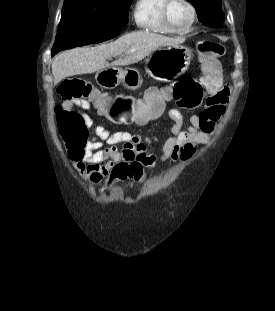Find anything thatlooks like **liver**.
<instances>
[{
  "mask_svg": "<svg viewBox=\"0 0 275 311\" xmlns=\"http://www.w3.org/2000/svg\"><path fill=\"white\" fill-rule=\"evenodd\" d=\"M182 40L148 31H135L114 42L97 47H82L59 54L52 63L54 84L62 79L80 74L94 73L110 66L106 62L119 57L112 66H125L139 62L160 47L176 45Z\"/></svg>",
  "mask_w": 275,
  "mask_h": 311,
  "instance_id": "liver-1",
  "label": "liver"
}]
</instances>
